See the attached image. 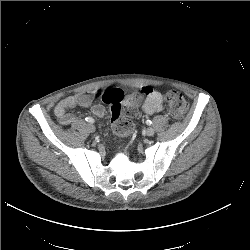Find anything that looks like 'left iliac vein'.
Here are the masks:
<instances>
[{"instance_id": "1", "label": "left iliac vein", "mask_w": 250, "mask_h": 250, "mask_svg": "<svg viewBox=\"0 0 250 250\" xmlns=\"http://www.w3.org/2000/svg\"><path fill=\"white\" fill-rule=\"evenodd\" d=\"M155 133V130L152 128V127H149L147 130H146V135L147 136H153Z\"/></svg>"}]
</instances>
